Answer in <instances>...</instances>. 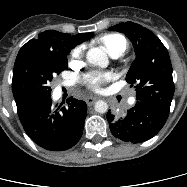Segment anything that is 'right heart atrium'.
Here are the masks:
<instances>
[{"instance_id":"obj_1","label":"right heart atrium","mask_w":187,"mask_h":187,"mask_svg":"<svg viewBox=\"0 0 187 187\" xmlns=\"http://www.w3.org/2000/svg\"><path fill=\"white\" fill-rule=\"evenodd\" d=\"M82 53H83V47L82 46H79V47L75 48L73 50L72 54H71L72 59L78 60L82 56Z\"/></svg>"}]
</instances>
